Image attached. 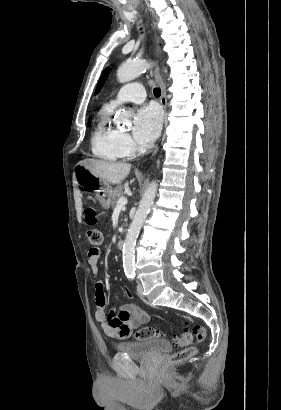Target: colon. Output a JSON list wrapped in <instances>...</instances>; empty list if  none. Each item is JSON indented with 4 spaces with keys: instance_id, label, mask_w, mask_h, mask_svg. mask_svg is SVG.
<instances>
[{
    "instance_id": "1",
    "label": "colon",
    "mask_w": 281,
    "mask_h": 410,
    "mask_svg": "<svg viewBox=\"0 0 281 410\" xmlns=\"http://www.w3.org/2000/svg\"><path fill=\"white\" fill-rule=\"evenodd\" d=\"M86 221L88 224L96 222V214L92 208L86 210ZM87 237L93 246H99L103 240L101 231L96 228L88 229ZM161 337V331L153 327H143L134 332V338L138 341ZM194 338L198 341H203L206 338V329L201 325H195L193 329H190L189 324L186 323L183 333L176 339V345L179 351L170 356V364L175 365L181 363L194 355L195 348L192 346Z\"/></svg>"
}]
</instances>
